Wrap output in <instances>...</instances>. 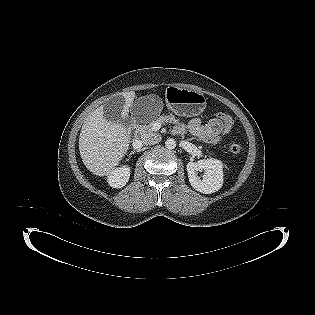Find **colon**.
Returning a JSON list of instances; mask_svg holds the SVG:
<instances>
[{
	"label": "colon",
	"mask_w": 315,
	"mask_h": 315,
	"mask_svg": "<svg viewBox=\"0 0 315 315\" xmlns=\"http://www.w3.org/2000/svg\"><path fill=\"white\" fill-rule=\"evenodd\" d=\"M212 116L214 119L220 120V122L224 124L221 128V131L225 135L231 134L233 131V128L236 127L238 124V121L236 118L231 117L227 113H222V111L219 109L214 110L212 113ZM229 150L232 153L237 154L243 151V146L239 143H232L229 146Z\"/></svg>",
	"instance_id": "colon-1"
}]
</instances>
